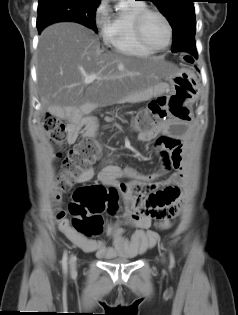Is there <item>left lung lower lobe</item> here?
Returning <instances> with one entry per match:
<instances>
[{"label":"left lung lower lobe","mask_w":238,"mask_h":315,"mask_svg":"<svg viewBox=\"0 0 238 315\" xmlns=\"http://www.w3.org/2000/svg\"><path fill=\"white\" fill-rule=\"evenodd\" d=\"M173 52H181L185 51L192 54L195 58H197V50L195 42H189L183 38L176 37L174 38V44L172 45Z\"/></svg>","instance_id":"left-lung-lower-lobe-1"}]
</instances>
